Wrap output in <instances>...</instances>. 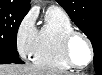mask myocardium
I'll use <instances>...</instances> for the list:
<instances>
[{
	"mask_svg": "<svg viewBox=\"0 0 102 75\" xmlns=\"http://www.w3.org/2000/svg\"><path fill=\"white\" fill-rule=\"evenodd\" d=\"M77 37H81L84 39V41L86 42V44L88 46V50H89L88 60L85 64H82V65L75 62L73 55L71 53L72 42ZM62 52H63L65 59L70 63L71 66H77V67L82 68V67L87 66L91 62L92 56H93V46H92L90 39L88 38V36L86 34L74 29V30L70 31L69 33H67L65 35V37L63 38Z\"/></svg>",
	"mask_w": 102,
	"mask_h": 75,
	"instance_id": "obj_1",
	"label": "myocardium"
}]
</instances>
